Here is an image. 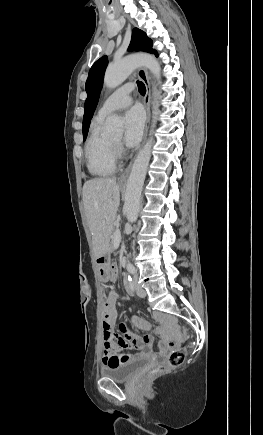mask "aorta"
<instances>
[{
  "label": "aorta",
  "mask_w": 263,
  "mask_h": 435,
  "mask_svg": "<svg viewBox=\"0 0 263 435\" xmlns=\"http://www.w3.org/2000/svg\"><path fill=\"white\" fill-rule=\"evenodd\" d=\"M139 66L147 67L160 83L161 67L157 59L148 54H139L128 56L120 62L109 66L105 72L104 85L108 88H116L123 83L127 77ZM160 96L158 91L156 94V104L154 106V119L152 127L156 124V115L158 113V101ZM123 132V122L118 116H111L106 120L105 133L108 135H121ZM153 138L147 140L143 149L138 154L132 166L131 173L128 178L124 209L128 222L133 223L138 218L140 209L141 193L144 185V180L151 158Z\"/></svg>",
  "instance_id": "aorta-1"
}]
</instances>
